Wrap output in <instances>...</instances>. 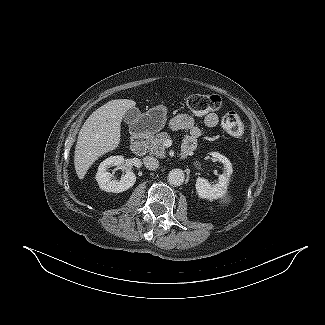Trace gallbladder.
<instances>
[{
  "label": "gallbladder",
  "mask_w": 325,
  "mask_h": 325,
  "mask_svg": "<svg viewBox=\"0 0 325 325\" xmlns=\"http://www.w3.org/2000/svg\"><path fill=\"white\" fill-rule=\"evenodd\" d=\"M139 116H140L139 109L136 107H133V108H130L127 110V112L125 113L123 118L127 124H132Z\"/></svg>",
  "instance_id": "1"
}]
</instances>
